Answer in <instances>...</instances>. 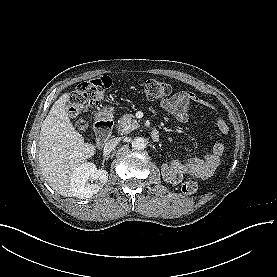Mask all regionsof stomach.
Returning <instances> with one entry per match:
<instances>
[{
  "label": "stomach",
  "mask_w": 277,
  "mask_h": 277,
  "mask_svg": "<svg viewBox=\"0 0 277 277\" xmlns=\"http://www.w3.org/2000/svg\"><path fill=\"white\" fill-rule=\"evenodd\" d=\"M109 109H110V111H112V110H113V108H112V107H110Z\"/></svg>",
  "instance_id": "0dacf381"
}]
</instances>
